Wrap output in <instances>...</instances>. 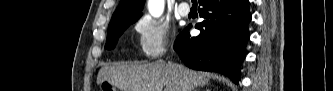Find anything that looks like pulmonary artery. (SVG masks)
<instances>
[{"label":"pulmonary artery","instance_id":"obj_1","mask_svg":"<svg viewBox=\"0 0 333 91\" xmlns=\"http://www.w3.org/2000/svg\"><path fill=\"white\" fill-rule=\"evenodd\" d=\"M178 12L181 16H187L190 12V7L186 2H182L178 7Z\"/></svg>","mask_w":333,"mask_h":91}]
</instances>
